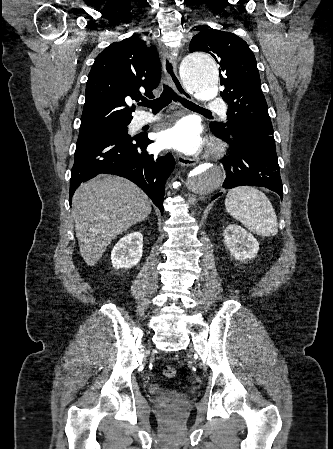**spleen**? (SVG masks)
I'll return each instance as SVG.
<instances>
[{
    "label": "spleen",
    "mask_w": 333,
    "mask_h": 449,
    "mask_svg": "<svg viewBox=\"0 0 333 449\" xmlns=\"http://www.w3.org/2000/svg\"><path fill=\"white\" fill-rule=\"evenodd\" d=\"M227 212L253 233L273 236L278 232L277 216L267 196L257 188L238 186L225 198Z\"/></svg>",
    "instance_id": "spleen-1"
}]
</instances>
